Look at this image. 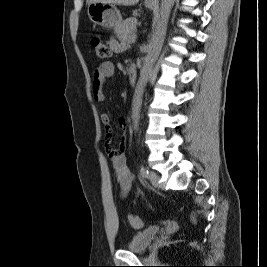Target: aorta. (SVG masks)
Instances as JSON below:
<instances>
[{
	"mask_svg": "<svg viewBox=\"0 0 267 267\" xmlns=\"http://www.w3.org/2000/svg\"><path fill=\"white\" fill-rule=\"evenodd\" d=\"M174 2L175 0H161L159 16L156 20L155 29L149 43L148 53L143 60L140 77L132 100L131 117L133 119V126L135 130L139 125V113L142 105L144 89L152 74L154 64L160 54Z\"/></svg>",
	"mask_w": 267,
	"mask_h": 267,
	"instance_id": "aorta-1",
	"label": "aorta"
}]
</instances>
